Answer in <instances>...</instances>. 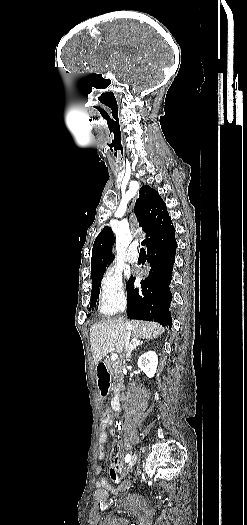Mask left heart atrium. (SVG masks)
<instances>
[{"mask_svg": "<svg viewBox=\"0 0 247 525\" xmlns=\"http://www.w3.org/2000/svg\"><path fill=\"white\" fill-rule=\"evenodd\" d=\"M135 275L137 276H141L143 274V272H134Z\"/></svg>", "mask_w": 247, "mask_h": 525, "instance_id": "left-heart-atrium-1", "label": "left heart atrium"}]
</instances>
